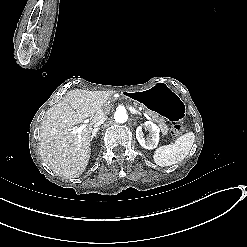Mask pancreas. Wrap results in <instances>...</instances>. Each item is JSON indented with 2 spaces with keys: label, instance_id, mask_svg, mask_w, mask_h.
I'll use <instances>...</instances> for the list:
<instances>
[{
  "label": "pancreas",
  "instance_id": "obj_1",
  "mask_svg": "<svg viewBox=\"0 0 247 247\" xmlns=\"http://www.w3.org/2000/svg\"><path fill=\"white\" fill-rule=\"evenodd\" d=\"M146 113L151 114V116H155V120H159L161 131L163 135H166L168 133L169 128L166 124V121H164V119L161 118L160 113H156V111H152V109H146Z\"/></svg>",
  "mask_w": 247,
  "mask_h": 247
}]
</instances>
